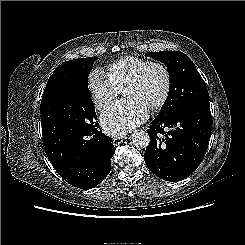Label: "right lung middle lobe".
<instances>
[{
  "label": "right lung middle lobe",
  "instance_id": "dd1d6c3e",
  "mask_svg": "<svg viewBox=\"0 0 245 245\" xmlns=\"http://www.w3.org/2000/svg\"><path fill=\"white\" fill-rule=\"evenodd\" d=\"M97 57L62 63L54 70L52 103L41 109L42 128L75 126L88 128L97 119L88 89V75Z\"/></svg>",
  "mask_w": 245,
  "mask_h": 245
}]
</instances>
